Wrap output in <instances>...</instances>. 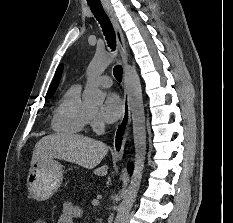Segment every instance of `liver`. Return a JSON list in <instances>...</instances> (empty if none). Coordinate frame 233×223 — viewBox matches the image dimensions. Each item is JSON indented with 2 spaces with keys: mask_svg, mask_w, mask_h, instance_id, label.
<instances>
[{
  "mask_svg": "<svg viewBox=\"0 0 233 223\" xmlns=\"http://www.w3.org/2000/svg\"><path fill=\"white\" fill-rule=\"evenodd\" d=\"M107 153L108 145L103 141H98V139L84 137L78 133H51V135H45L37 141L31 165L40 157H57V159L77 163L86 169H93L99 165ZM108 169L109 165H101V167H96L93 173L107 175Z\"/></svg>",
  "mask_w": 233,
  "mask_h": 223,
  "instance_id": "6515ba94",
  "label": "liver"
}]
</instances>
